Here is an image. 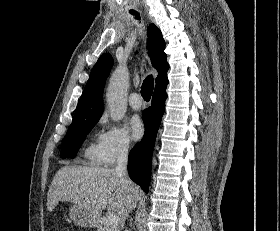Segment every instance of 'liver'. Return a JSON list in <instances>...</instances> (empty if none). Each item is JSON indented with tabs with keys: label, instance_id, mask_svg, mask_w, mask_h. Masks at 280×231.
Wrapping results in <instances>:
<instances>
[{
	"label": "liver",
	"instance_id": "1",
	"mask_svg": "<svg viewBox=\"0 0 280 231\" xmlns=\"http://www.w3.org/2000/svg\"><path fill=\"white\" fill-rule=\"evenodd\" d=\"M141 193L136 183H127L124 177L117 175L115 169L64 165L52 179L47 209L53 211L58 201H73L88 209L97 221L105 207L117 211L122 219H126Z\"/></svg>",
	"mask_w": 280,
	"mask_h": 231
}]
</instances>
